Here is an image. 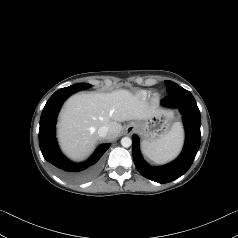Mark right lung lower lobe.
<instances>
[{
  "mask_svg": "<svg viewBox=\"0 0 238 238\" xmlns=\"http://www.w3.org/2000/svg\"><path fill=\"white\" fill-rule=\"evenodd\" d=\"M77 85H71L56 91L46 103L39 129V145L44 158L58 168L70 181H81L88 178L95 170L93 166L110 147V144L99 146L94 154L83 163L68 160L60 151L55 139L56 117L63 102L73 93L80 91Z\"/></svg>",
  "mask_w": 238,
  "mask_h": 238,
  "instance_id": "right-lung-lower-lobe-1",
  "label": "right lung lower lobe"
}]
</instances>
